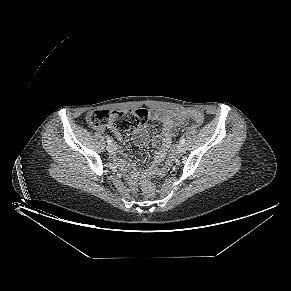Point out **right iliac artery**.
<instances>
[{
  "mask_svg": "<svg viewBox=\"0 0 291 291\" xmlns=\"http://www.w3.org/2000/svg\"><path fill=\"white\" fill-rule=\"evenodd\" d=\"M107 143L108 144H111L112 143V140L110 138H107Z\"/></svg>",
  "mask_w": 291,
  "mask_h": 291,
  "instance_id": "82829eb1",
  "label": "right iliac artery"
}]
</instances>
